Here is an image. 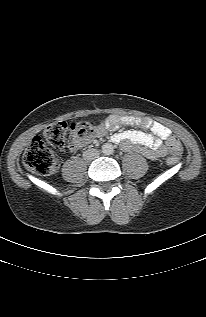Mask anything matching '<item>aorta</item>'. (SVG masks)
Returning <instances> with one entry per match:
<instances>
[{"mask_svg":"<svg viewBox=\"0 0 206 317\" xmlns=\"http://www.w3.org/2000/svg\"><path fill=\"white\" fill-rule=\"evenodd\" d=\"M102 152L105 154V155H110L114 152V148H113V145L110 144V143H106L102 146Z\"/></svg>","mask_w":206,"mask_h":317,"instance_id":"aorta-1","label":"aorta"}]
</instances>
